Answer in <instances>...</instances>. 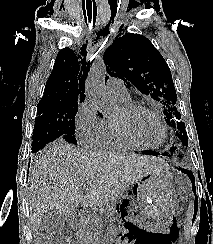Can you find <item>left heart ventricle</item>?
<instances>
[{
  "label": "left heart ventricle",
  "mask_w": 213,
  "mask_h": 244,
  "mask_svg": "<svg viewBox=\"0 0 213 244\" xmlns=\"http://www.w3.org/2000/svg\"><path fill=\"white\" fill-rule=\"evenodd\" d=\"M115 120L124 121L130 132L141 142L148 145H157L163 139V129L158 120L148 112L140 111L127 115L123 108Z\"/></svg>",
  "instance_id": "obj_1"
}]
</instances>
